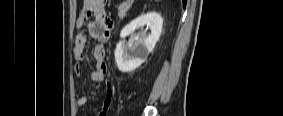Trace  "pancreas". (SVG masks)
<instances>
[{
  "label": "pancreas",
  "mask_w": 283,
  "mask_h": 116,
  "mask_svg": "<svg viewBox=\"0 0 283 116\" xmlns=\"http://www.w3.org/2000/svg\"><path fill=\"white\" fill-rule=\"evenodd\" d=\"M129 6L127 4H122L119 6L118 10H119V18H124L126 16V12L128 11Z\"/></svg>",
  "instance_id": "pancreas-1"
}]
</instances>
